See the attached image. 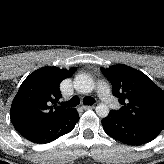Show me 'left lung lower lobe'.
<instances>
[{"label": "left lung lower lobe", "mask_w": 164, "mask_h": 164, "mask_svg": "<svg viewBox=\"0 0 164 164\" xmlns=\"http://www.w3.org/2000/svg\"><path fill=\"white\" fill-rule=\"evenodd\" d=\"M104 131L112 138L129 145H141L155 139L162 130L125 120L114 112L102 121Z\"/></svg>", "instance_id": "obj_1"}]
</instances>
